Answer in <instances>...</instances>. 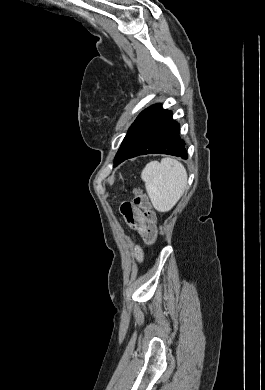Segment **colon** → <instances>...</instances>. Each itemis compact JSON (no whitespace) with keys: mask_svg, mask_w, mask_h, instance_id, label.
<instances>
[{"mask_svg":"<svg viewBox=\"0 0 265 390\" xmlns=\"http://www.w3.org/2000/svg\"><path fill=\"white\" fill-rule=\"evenodd\" d=\"M133 203L137 208L143 210L146 223L152 227V234L148 238V243L152 245L155 243L157 239V233L155 227L156 215L154 211L151 209V205L147 195L140 188L134 189Z\"/></svg>","mask_w":265,"mask_h":390,"instance_id":"5ec220e1","label":"colon"}]
</instances>
